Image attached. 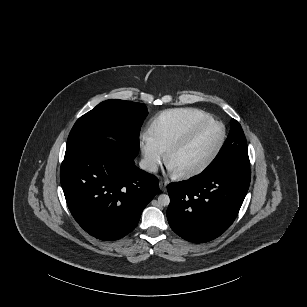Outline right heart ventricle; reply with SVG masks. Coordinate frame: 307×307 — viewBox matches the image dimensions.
Returning a JSON list of instances; mask_svg holds the SVG:
<instances>
[{"instance_id":"1","label":"right heart ventricle","mask_w":307,"mask_h":307,"mask_svg":"<svg viewBox=\"0 0 307 307\" xmlns=\"http://www.w3.org/2000/svg\"><path fill=\"white\" fill-rule=\"evenodd\" d=\"M210 120L212 116L199 109H169L153 119L149 126V133L158 147L163 152H167L196 128Z\"/></svg>"}]
</instances>
